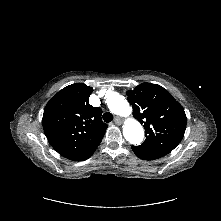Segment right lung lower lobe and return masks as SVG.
Wrapping results in <instances>:
<instances>
[{"instance_id":"obj_1","label":"right lung lower lobe","mask_w":221,"mask_h":221,"mask_svg":"<svg viewBox=\"0 0 221 221\" xmlns=\"http://www.w3.org/2000/svg\"><path fill=\"white\" fill-rule=\"evenodd\" d=\"M96 150V149H95ZM94 150V151H95ZM94 151L92 152V153H90L87 157H85L83 160H86V159H88L93 153H94Z\"/></svg>"}]
</instances>
